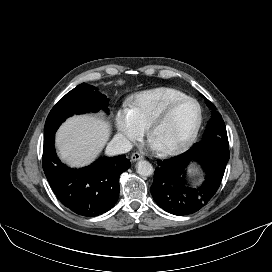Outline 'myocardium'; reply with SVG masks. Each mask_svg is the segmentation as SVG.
<instances>
[{
    "mask_svg": "<svg viewBox=\"0 0 272 272\" xmlns=\"http://www.w3.org/2000/svg\"><path fill=\"white\" fill-rule=\"evenodd\" d=\"M185 102H192L197 106V109H198L197 121H196L190 135L181 144L174 146V147H170V148H158L159 151L164 155L180 154V153L184 152L185 150H187L193 144V142L195 141V139L199 133V130L201 128L202 121H203V110H202L200 103L195 98H192L189 96L174 100L171 103H169L152 120V122L150 123V125L148 127V138L152 141V137H153L155 131L157 130V128L170 116V114L174 111V109L176 107H178L179 105H181Z\"/></svg>",
    "mask_w": 272,
    "mask_h": 272,
    "instance_id": "1",
    "label": "myocardium"
}]
</instances>
